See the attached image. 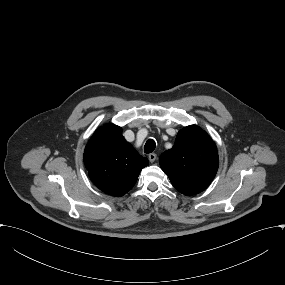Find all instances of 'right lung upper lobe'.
I'll use <instances>...</instances> for the list:
<instances>
[{"label": "right lung upper lobe", "mask_w": 285, "mask_h": 285, "mask_svg": "<svg viewBox=\"0 0 285 285\" xmlns=\"http://www.w3.org/2000/svg\"><path fill=\"white\" fill-rule=\"evenodd\" d=\"M84 163L92 182L103 192L123 196L149 163L122 136V129L107 124L96 130L84 151Z\"/></svg>", "instance_id": "cb5924a9"}]
</instances>
